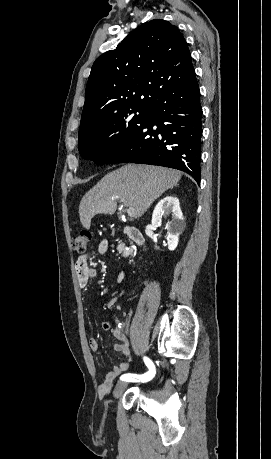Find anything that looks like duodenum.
Segmentation results:
<instances>
[{"instance_id":"1","label":"duodenum","mask_w":271,"mask_h":459,"mask_svg":"<svg viewBox=\"0 0 271 459\" xmlns=\"http://www.w3.org/2000/svg\"><path fill=\"white\" fill-rule=\"evenodd\" d=\"M123 231L128 236V238L136 245H142L144 243L143 235L137 228L132 226H126L124 227Z\"/></svg>"}]
</instances>
